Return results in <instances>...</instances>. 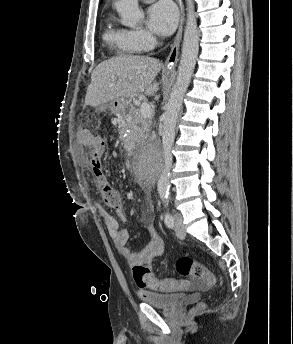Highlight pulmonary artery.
I'll return each mask as SVG.
<instances>
[{
    "mask_svg": "<svg viewBox=\"0 0 293 344\" xmlns=\"http://www.w3.org/2000/svg\"><path fill=\"white\" fill-rule=\"evenodd\" d=\"M144 2H151V1H154V0H142Z\"/></svg>",
    "mask_w": 293,
    "mask_h": 344,
    "instance_id": "pulmonary-artery-1",
    "label": "pulmonary artery"
}]
</instances>
